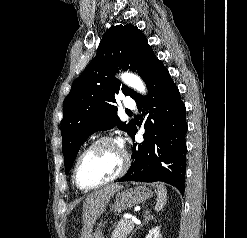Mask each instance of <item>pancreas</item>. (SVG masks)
Instances as JSON below:
<instances>
[{"label": "pancreas", "instance_id": "pancreas-1", "mask_svg": "<svg viewBox=\"0 0 247 238\" xmlns=\"http://www.w3.org/2000/svg\"><path fill=\"white\" fill-rule=\"evenodd\" d=\"M134 224L126 219H121L112 232L111 238H127L134 229Z\"/></svg>", "mask_w": 247, "mask_h": 238}]
</instances>
